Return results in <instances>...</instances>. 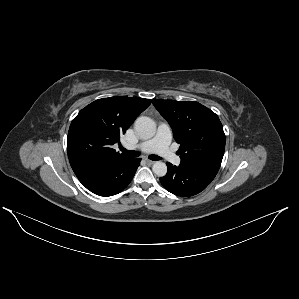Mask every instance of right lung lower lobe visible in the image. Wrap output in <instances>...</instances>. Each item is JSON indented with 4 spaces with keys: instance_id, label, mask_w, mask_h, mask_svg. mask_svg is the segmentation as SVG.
Here are the masks:
<instances>
[{
    "instance_id": "obj_1",
    "label": "right lung lower lobe",
    "mask_w": 299,
    "mask_h": 299,
    "mask_svg": "<svg viewBox=\"0 0 299 299\" xmlns=\"http://www.w3.org/2000/svg\"><path fill=\"white\" fill-rule=\"evenodd\" d=\"M141 159L124 158L101 162L74 172L79 181L91 192L112 196L128 186L140 165Z\"/></svg>"
}]
</instances>
